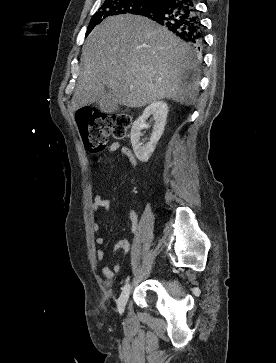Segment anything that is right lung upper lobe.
Returning a JSON list of instances; mask_svg holds the SVG:
<instances>
[{
	"instance_id": "right-lung-upper-lobe-1",
	"label": "right lung upper lobe",
	"mask_w": 276,
	"mask_h": 363,
	"mask_svg": "<svg viewBox=\"0 0 276 363\" xmlns=\"http://www.w3.org/2000/svg\"><path fill=\"white\" fill-rule=\"evenodd\" d=\"M155 2H158V1H160V0H154Z\"/></svg>"
}]
</instances>
